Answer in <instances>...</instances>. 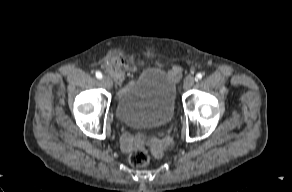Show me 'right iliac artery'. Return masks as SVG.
Listing matches in <instances>:
<instances>
[{"instance_id":"82829eb1","label":"right iliac artery","mask_w":292,"mask_h":192,"mask_svg":"<svg viewBox=\"0 0 292 192\" xmlns=\"http://www.w3.org/2000/svg\"><path fill=\"white\" fill-rule=\"evenodd\" d=\"M95 75H96V77H97L98 79H101V78H102V73L99 72V71H97V72L95 73Z\"/></svg>"}]
</instances>
